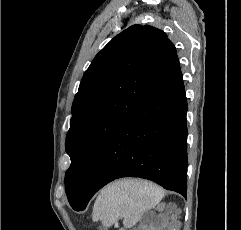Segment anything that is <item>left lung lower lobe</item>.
<instances>
[{
    "label": "left lung lower lobe",
    "instance_id": "left-lung-lower-lobe-1",
    "mask_svg": "<svg viewBox=\"0 0 241 230\" xmlns=\"http://www.w3.org/2000/svg\"><path fill=\"white\" fill-rule=\"evenodd\" d=\"M187 109L179 68L104 144L81 200L71 205L73 209H85L99 189L121 177L149 179L185 195Z\"/></svg>",
    "mask_w": 241,
    "mask_h": 230
}]
</instances>
